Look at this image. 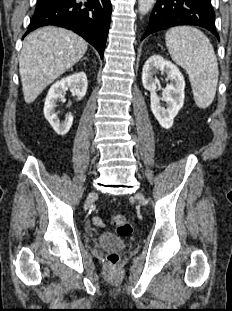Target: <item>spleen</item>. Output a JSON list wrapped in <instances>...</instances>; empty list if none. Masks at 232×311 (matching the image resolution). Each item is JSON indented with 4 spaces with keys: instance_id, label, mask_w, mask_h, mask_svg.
Instances as JSON below:
<instances>
[{
    "instance_id": "3e777b00",
    "label": "spleen",
    "mask_w": 232,
    "mask_h": 311,
    "mask_svg": "<svg viewBox=\"0 0 232 311\" xmlns=\"http://www.w3.org/2000/svg\"><path fill=\"white\" fill-rule=\"evenodd\" d=\"M166 47L173 61L183 67L191 83L196 105H211L218 83L217 58L209 39L195 27L178 26L165 35Z\"/></svg>"
}]
</instances>
